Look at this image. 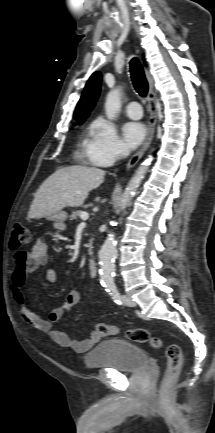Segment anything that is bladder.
Instances as JSON below:
<instances>
[{
    "instance_id": "1",
    "label": "bladder",
    "mask_w": 215,
    "mask_h": 433,
    "mask_svg": "<svg viewBox=\"0 0 215 433\" xmlns=\"http://www.w3.org/2000/svg\"><path fill=\"white\" fill-rule=\"evenodd\" d=\"M88 368L134 373L148 365L147 354L138 346L121 339H107L84 356Z\"/></svg>"
}]
</instances>
